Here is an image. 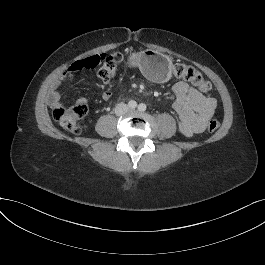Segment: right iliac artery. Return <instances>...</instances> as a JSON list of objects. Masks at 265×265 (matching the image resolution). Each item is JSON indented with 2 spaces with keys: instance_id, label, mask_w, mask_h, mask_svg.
I'll return each instance as SVG.
<instances>
[{
  "instance_id": "1",
  "label": "right iliac artery",
  "mask_w": 265,
  "mask_h": 265,
  "mask_svg": "<svg viewBox=\"0 0 265 265\" xmlns=\"http://www.w3.org/2000/svg\"><path fill=\"white\" fill-rule=\"evenodd\" d=\"M128 106L131 109H135L137 107V103L134 100L129 101Z\"/></svg>"
}]
</instances>
